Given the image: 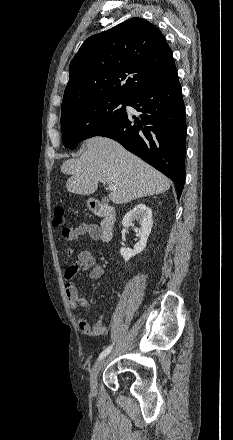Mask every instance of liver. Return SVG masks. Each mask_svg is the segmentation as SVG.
<instances>
[{"label": "liver", "instance_id": "obj_1", "mask_svg": "<svg viewBox=\"0 0 233 440\" xmlns=\"http://www.w3.org/2000/svg\"><path fill=\"white\" fill-rule=\"evenodd\" d=\"M61 171L71 175L66 183L71 193L93 194L99 182L115 185L116 190L109 194L114 204L163 193L171 184L165 175L106 137L86 140L82 155L66 160Z\"/></svg>", "mask_w": 233, "mask_h": 440}]
</instances>
